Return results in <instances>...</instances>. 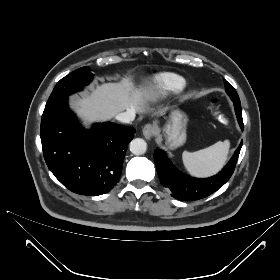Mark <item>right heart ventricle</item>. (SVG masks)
Listing matches in <instances>:
<instances>
[{"mask_svg": "<svg viewBox=\"0 0 280 280\" xmlns=\"http://www.w3.org/2000/svg\"><path fill=\"white\" fill-rule=\"evenodd\" d=\"M185 86V80L174 73H162L155 76L150 85L151 96L166 95L181 91Z\"/></svg>", "mask_w": 280, "mask_h": 280, "instance_id": "e07e8e85", "label": "right heart ventricle"}]
</instances>
